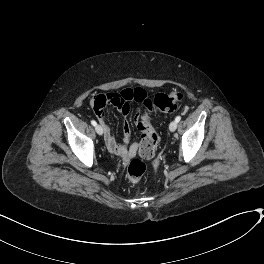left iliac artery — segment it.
Wrapping results in <instances>:
<instances>
[{
    "label": "left iliac artery",
    "instance_id": "44dca946",
    "mask_svg": "<svg viewBox=\"0 0 264 264\" xmlns=\"http://www.w3.org/2000/svg\"><path fill=\"white\" fill-rule=\"evenodd\" d=\"M181 120V116H177L176 118H175V121L178 123L179 121Z\"/></svg>",
    "mask_w": 264,
    "mask_h": 264
}]
</instances>
